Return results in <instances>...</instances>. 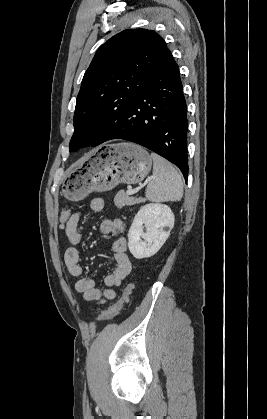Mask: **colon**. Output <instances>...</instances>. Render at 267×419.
Returning a JSON list of instances; mask_svg holds the SVG:
<instances>
[{
  "label": "colon",
  "instance_id": "5ec220e1",
  "mask_svg": "<svg viewBox=\"0 0 267 419\" xmlns=\"http://www.w3.org/2000/svg\"><path fill=\"white\" fill-rule=\"evenodd\" d=\"M73 212L70 209H65L60 214V225L61 227H65L67 222L69 221L70 217L72 216ZM132 291V284H128L126 288L124 289L121 297L113 303L111 306H109L105 311H103L97 318V321H108L110 319H113L115 316H117L122 309L123 305L127 302L129 295Z\"/></svg>",
  "mask_w": 267,
  "mask_h": 419
}]
</instances>
